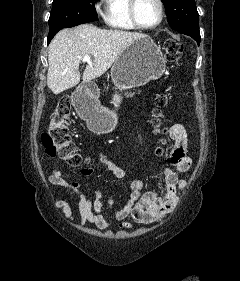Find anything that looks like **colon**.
Listing matches in <instances>:
<instances>
[{"label": "colon", "instance_id": "5ec220e1", "mask_svg": "<svg viewBox=\"0 0 240 281\" xmlns=\"http://www.w3.org/2000/svg\"><path fill=\"white\" fill-rule=\"evenodd\" d=\"M164 52L169 61H177L182 54V45L173 39H168L164 44ZM169 96L160 94L156 98V117L154 124L159 133L166 132L160 124V116L163 109L167 106ZM71 104L68 98H62L56 109L51 115L50 125L46 132L42 134L41 140L45 152L50 157H59L71 167H81L87 163L82 154L77 149L71 139L69 132ZM162 150L158 148L156 154H161Z\"/></svg>", "mask_w": 240, "mask_h": 281}]
</instances>
